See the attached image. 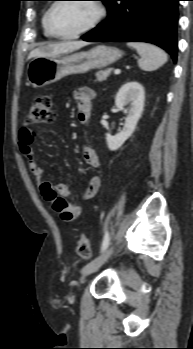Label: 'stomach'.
<instances>
[{
  "mask_svg": "<svg viewBox=\"0 0 193 349\" xmlns=\"http://www.w3.org/2000/svg\"><path fill=\"white\" fill-rule=\"evenodd\" d=\"M123 52L116 48L98 45L89 51L65 56L37 57L27 67V80L33 87H43L72 74H84L91 69H102L116 62Z\"/></svg>",
  "mask_w": 193,
  "mask_h": 349,
  "instance_id": "stomach-1",
  "label": "stomach"
}]
</instances>
